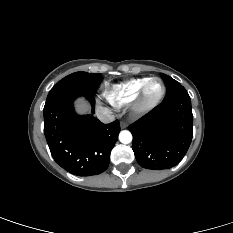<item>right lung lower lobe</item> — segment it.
Returning a JSON list of instances; mask_svg holds the SVG:
<instances>
[{
    "mask_svg": "<svg viewBox=\"0 0 233 233\" xmlns=\"http://www.w3.org/2000/svg\"><path fill=\"white\" fill-rule=\"evenodd\" d=\"M84 96L94 106L93 96ZM76 97L44 107L45 137L55 162L62 168L77 176L97 175L109 165L120 132L119 121L103 124L91 115H77L73 108Z\"/></svg>",
    "mask_w": 233,
    "mask_h": 233,
    "instance_id": "98d812e1",
    "label": "right lung lower lobe"
}]
</instances>
